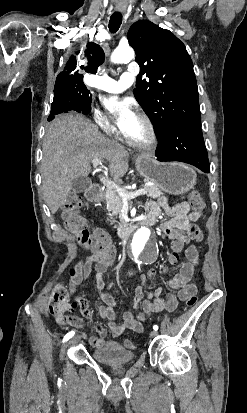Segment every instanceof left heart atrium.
Segmentation results:
<instances>
[{"mask_svg":"<svg viewBox=\"0 0 247 413\" xmlns=\"http://www.w3.org/2000/svg\"><path fill=\"white\" fill-rule=\"evenodd\" d=\"M103 104L109 111L120 115L121 130L126 136L141 125V116L135 110L131 100L118 96H109L103 98Z\"/></svg>","mask_w":247,"mask_h":413,"instance_id":"obj_1","label":"left heart atrium"}]
</instances>
